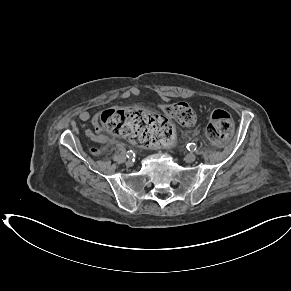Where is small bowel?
<instances>
[{
  "instance_id": "1",
  "label": "small bowel",
  "mask_w": 291,
  "mask_h": 291,
  "mask_svg": "<svg viewBox=\"0 0 291 291\" xmlns=\"http://www.w3.org/2000/svg\"><path fill=\"white\" fill-rule=\"evenodd\" d=\"M134 94V92H131ZM79 119L82 122L92 121L94 123V131L91 129L85 130V135L90 138L92 141L97 142L102 145H107L112 142V140L105 134L101 133L100 127L98 123L93 119L92 115L88 111H82L79 114ZM92 153H99L97 148H91Z\"/></svg>"
}]
</instances>
